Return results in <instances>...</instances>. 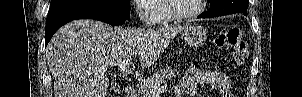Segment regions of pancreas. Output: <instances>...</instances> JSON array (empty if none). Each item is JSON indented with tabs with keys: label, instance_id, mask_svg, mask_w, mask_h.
<instances>
[{
	"label": "pancreas",
	"instance_id": "cf45deb5",
	"mask_svg": "<svg viewBox=\"0 0 302 97\" xmlns=\"http://www.w3.org/2000/svg\"><path fill=\"white\" fill-rule=\"evenodd\" d=\"M178 71L170 66H166L161 69L160 72L154 73V75L146 79L143 83L137 86L138 97H151L152 96V86L164 83L166 80H171L177 77Z\"/></svg>",
	"mask_w": 302,
	"mask_h": 97
}]
</instances>
